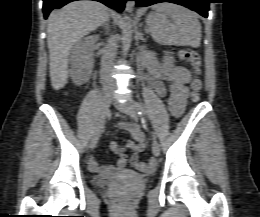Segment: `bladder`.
Segmentation results:
<instances>
[{
    "label": "bladder",
    "mask_w": 260,
    "mask_h": 217,
    "mask_svg": "<svg viewBox=\"0 0 260 217\" xmlns=\"http://www.w3.org/2000/svg\"><path fill=\"white\" fill-rule=\"evenodd\" d=\"M122 174L126 175L128 178H138V174L130 171H123Z\"/></svg>",
    "instance_id": "bladder-1"
}]
</instances>
